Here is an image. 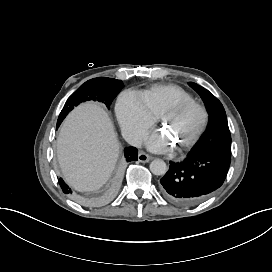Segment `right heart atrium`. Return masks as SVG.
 Returning <instances> with one entry per match:
<instances>
[{
  "mask_svg": "<svg viewBox=\"0 0 272 272\" xmlns=\"http://www.w3.org/2000/svg\"><path fill=\"white\" fill-rule=\"evenodd\" d=\"M120 122L127 135L135 142L157 121L145 97L137 92L124 91L117 102Z\"/></svg>",
  "mask_w": 272,
  "mask_h": 272,
  "instance_id": "1",
  "label": "right heart atrium"
}]
</instances>
